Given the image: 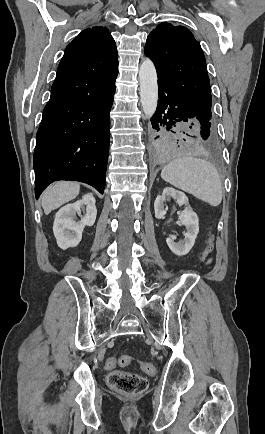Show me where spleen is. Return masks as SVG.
Wrapping results in <instances>:
<instances>
[{"label":"spleen","mask_w":265,"mask_h":434,"mask_svg":"<svg viewBox=\"0 0 265 434\" xmlns=\"http://www.w3.org/2000/svg\"><path fill=\"white\" fill-rule=\"evenodd\" d=\"M161 178L175 188L192 194L198 200L208 202L210 206H219L222 202V184L220 176L211 162L184 156L176 158L164 166Z\"/></svg>","instance_id":"obj_1"}]
</instances>
